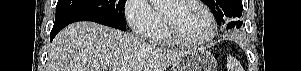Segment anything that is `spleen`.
I'll return each instance as SVG.
<instances>
[{
  "instance_id": "1",
  "label": "spleen",
  "mask_w": 301,
  "mask_h": 71,
  "mask_svg": "<svg viewBox=\"0 0 301 71\" xmlns=\"http://www.w3.org/2000/svg\"><path fill=\"white\" fill-rule=\"evenodd\" d=\"M227 67L228 71H242L240 64L232 56L227 57Z\"/></svg>"
}]
</instances>
